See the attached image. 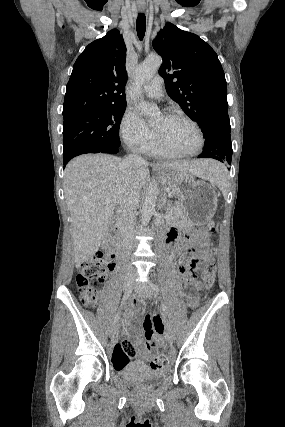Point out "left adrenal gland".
I'll return each mask as SVG.
<instances>
[{
  "label": "left adrenal gland",
  "instance_id": "left-adrenal-gland-1",
  "mask_svg": "<svg viewBox=\"0 0 285 427\" xmlns=\"http://www.w3.org/2000/svg\"><path fill=\"white\" fill-rule=\"evenodd\" d=\"M165 203V199H163V204Z\"/></svg>",
  "mask_w": 285,
  "mask_h": 427
}]
</instances>
